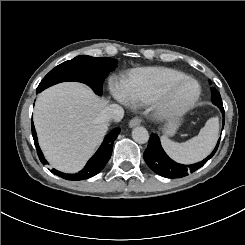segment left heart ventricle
Listing matches in <instances>:
<instances>
[{
  "label": "left heart ventricle",
  "mask_w": 245,
  "mask_h": 245,
  "mask_svg": "<svg viewBox=\"0 0 245 245\" xmlns=\"http://www.w3.org/2000/svg\"><path fill=\"white\" fill-rule=\"evenodd\" d=\"M195 91V85L191 82H186L174 88L169 95V99L175 104L186 103L194 97Z\"/></svg>",
  "instance_id": "b2bd125f"
}]
</instances>
